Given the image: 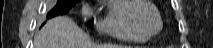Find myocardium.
Instances as JSON below:
<instances>
[{"label": "myocardium", "instance_id": "1", "mask_svg": "<svg viewBox=\"0 0 213 48\" xmlns=\"http://www.w3.org/2000/svg\"><path fill=\"white\" fill-rule=\"evenodd\" d=\"M143 7H148L150 9H152L157 16L159 26L155 32H152V33L145 32L141 28V26L138 22L137 14ZM129 19L131 21V24L135 28V30L147 38L155 36L162 29V26H163L162 17H161V14H160L158 8L156 6H154L151 2L145 1V0H135L134 1L133 5L131 7V10L129 12Z\"/></svg>", "mask_w": 213, "mask_h": 48}]
</instances>
